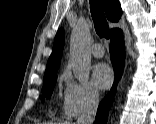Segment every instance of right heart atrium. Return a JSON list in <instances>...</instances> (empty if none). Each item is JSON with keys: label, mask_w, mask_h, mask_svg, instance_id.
<instances>
[{"label": "right heart atrium", "mask_w": 156, "mask_h": 124, "mask_svg": "<svg viewBox=\"0 0 156 124\" xmlns=\"http://www.w3.org/2000/svg\"><path fill=\"white\" fill-rule=\"evenodd\" d=\"M63 112L69 118H76L92 111L98 104L99 95L95 86L87 82H78L64 72Z\"/></svg>", "instance_id": "1"}]
</instances>
